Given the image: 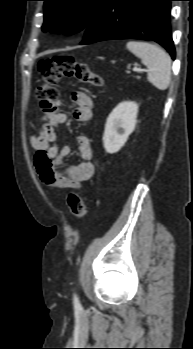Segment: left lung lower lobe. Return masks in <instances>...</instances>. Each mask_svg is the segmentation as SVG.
I'll return each instance as SVG.
<instances>
[{"label": "left lung lower lobe", "mask_w": 193, "mask_h": 349, "mask_svg": "<svg viewBox=\"0 0 193 349\" xmlns=\"http://www.w3.org/2000/svg\"><path fill=\"white\" fill-rule=\"evenodd\" d=\"M173 0H106L86 28L81 45L110 39H143L163 46L175 58L170 30Z\"/></svg>", "instance_id": "left-lung-lower-lobe-1"}]
</instances>
